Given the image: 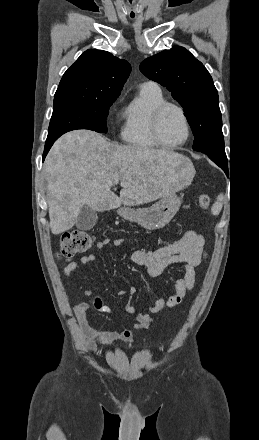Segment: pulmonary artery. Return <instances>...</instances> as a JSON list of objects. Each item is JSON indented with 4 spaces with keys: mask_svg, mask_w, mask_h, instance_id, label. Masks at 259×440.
<instances>
[{
    "mask_svg": "<svg viewBox=\"0 0 259 440\" xmlns=\"http://www.w3.org/2000/svg\"><path fill=\"white\" fill-rule=\"evenodd\" d=\"M141 89L150 90V91H160L158 84L152 81L144 82L141 85Z\"/></svg>",
    "mask_w": 259,
    "mask_h": 440,
    "instance_id": "1",
    "label": "pulmonary artery"
}]
</instances>
